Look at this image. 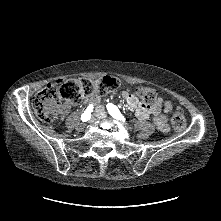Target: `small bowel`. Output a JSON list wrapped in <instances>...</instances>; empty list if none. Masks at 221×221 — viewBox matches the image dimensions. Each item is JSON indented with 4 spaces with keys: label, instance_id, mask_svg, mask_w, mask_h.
I'll list each match as a JSON object with an SVG mask.
<instances>
[{
    "label": "small bowel",
    "instance_id": "small-bowel-1",
    "mask_svg": "<svg viewBox=\"0 0 221 221\" xmlns=\"http://www.w3.org/2000/svg\"><path fill=\"white\" fill-rule=\"evenodd\" d=\"M67 82L68 79L65 76L54 77L51 80V83L54 86H63L67 84ZM121 96L125 99L129 110L133 111L139 120H147L150 113L152 112L154 115V122L156 124L157 129L161 132H167L169 130L168 121L164 114L170 111L172 108V104L169 101H164L157 106L150 107L149 105L140 102L134 94L128 91H122ZM99 101L100 99L97 96H91L88 99V103H91L90 105L98 104ZM162 107L164 112L162 111ZM96 112L99 115V113L101 112V108L97 107Z\"/></svg>",
    "mask_w": 221,
    "mask_h": 221
}]
</instances>
